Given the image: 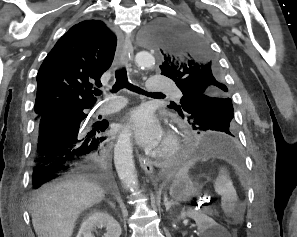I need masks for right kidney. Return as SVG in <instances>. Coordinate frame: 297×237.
Instances as JSON below:
<instances>
[{"label": "right kidney", "instance_id": "obj_1", "mask_svg": "<svg viewBox=\"0 0 297 237\" xmlns=\"http://www.w3.org/2000/svg\"><path fill=\"white\" fill-rule=\"evenodd\" d=\"M106 228L104 237H120L121 227L119 223L107 212L97 211L92 213L81 225L77 237H94L93 230Z\"/></svg>", "mask_w": 297, "mask_h": 237}]
</instances>
